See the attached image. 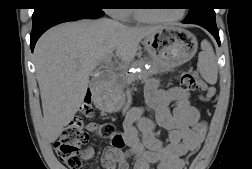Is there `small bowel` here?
I'll return each instance as SVG.
<instances>
[{
  "mask_svg": "<svg viewBox=\"0 0 252 169\" xmlns=\"http://www.w3.org/2000/svg\"><path fill=\"white\" fill-rule=\"evenodd\" d=\"M145 95L146 107L132 108L126 114L121 134L126 147L112 144L105 149L106 169H129L130 158L135 159L134 169H151L152 165L156 169H183L186 157L203 142L206 125L199 121V112L190 104L187 91L179 87L159 89L155 81H149ZM155 123L169 132L168 144L163 145L154 136ZM100 125L91 122L86 129L99 133ZM93 155L94 147L88 146L85 158Z\"/></svg>",
  "mask_w": 252,
  "mask_h": 169,
  "instance_id": "small-bowel-1",
  "label": "small bowel"
}]
</instances>
